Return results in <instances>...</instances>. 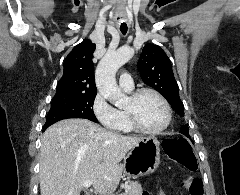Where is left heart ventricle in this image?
<instances>
[{
    "label": "left heart ventricle",
    "mask_w": 240,
    "mask_h": 195,
    "mask_svg": "<svg viewBox=\"0 0 240 195\" xmlns=\"http://www.w3.org/2000/svg\"><path fill=\"white\" fill-rule=\"evenodd\" d=\"M137 115L143 126L157 128L164 120L163 106L153 94H144L137 104Z\"/></svg>",
    "instance_id": "left-heart-ventricle-1"
}]
</instances>
